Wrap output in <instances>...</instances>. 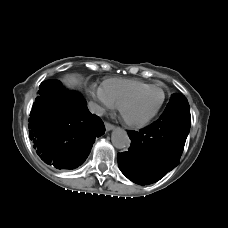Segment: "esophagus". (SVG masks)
I'll use <instances>...</instances> for the list:
<instances>
[{
	"mask_svg": "<svg viewBox=\"0 0 228 228\" xmlns=\"http://www.w3.org/2000/svg\"><path fill=\"white\" fill-rule=\"evenodd\" d=\"M105 128H106V131H110V130H113L115 128V126L109 122H106Z\"/></svg>",
	"mask_w": 228,
	"mask_h": 228,
	"instance_id": "obj_1",
	"label": "esophagus"
}]
</instances>
